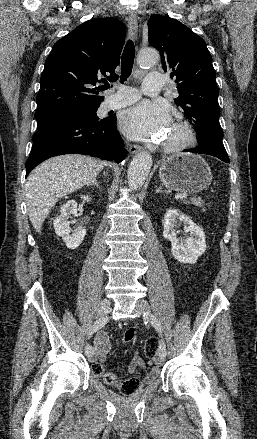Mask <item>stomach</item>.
Instances as JSON below:
<instances>
[{"instance_id":"1","label":"stomach","mask_w":257,"mask_h":439,"mask_svg":"<svg viewBox=\"0 0 257 439\" xmlns=\"http://www.w3.org/2000/svg\"><path fill=\"white\" fill-rule=\"evenodd\" d=\"M161 182L179 192L197 193L209 187L212 173L206 161L196 154L182 153L161 161Z\"/></svg>"}]
</instances>
